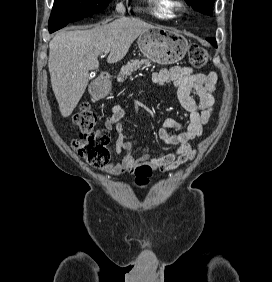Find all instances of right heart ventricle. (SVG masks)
<instances>
[{
  "instance_id": "right-heart-ventricle-1",
  "label": "right heart ventricle",
  "mask_w": 272,
  "mask_h": 282,
  "mask_svg": "<svg viewBox=\"0 0 272 282\" xmlns=\"http://www.w3.org/2000/svg\"><path fill=\"white\" fill-rule=\"evenodd\" d=\"M148 3H152V11L154 15L160 19H171L173 9L171 8L170 0H146Z\"/></svg>"
}]
</instances>
